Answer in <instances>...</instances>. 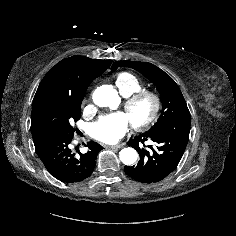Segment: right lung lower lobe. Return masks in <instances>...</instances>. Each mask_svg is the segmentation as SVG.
<instances>
[{"mask_svg": "<svg viewBox=\"0 0 236 236\" xmlns=\"http://www.w3.org/2000/svg\"><path fill=\"white\" fill-rule=\"evenodd\" d=\"M31 132L36 153L53 177L65 183H74L92 174L97 154L103 149L101 145L88 142L89 151L76 154L70 149L73 136L40 129H31Z\"/></svg>", "mask_w": 236, "mask_h": 236, "instance_id": "right-lung-lower-lobe-1", "label": "right lung lower lobe"}]
</instances>
